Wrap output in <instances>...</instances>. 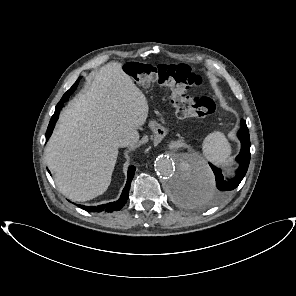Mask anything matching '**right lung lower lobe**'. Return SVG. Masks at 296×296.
<instances>
[{"instance_id":"right-lung-lower-lobe-1","label":"right lung lower lobe","mask_w":296,"mask_h":296,"mask_svg":"<svg viewBox=\"0 0 296 296\" xmlns=\"http://www.w3.org/2000/svg\"><path fill=\"white\" fill-rule=\"evenodd\" d=\"M78 85V80L75 82V84L63 95L61 98L60 102L57 104L55 112L50 120L49 126L47 128L46 132V139L50 137L52 134V131L54 129L55 123L59 117V112L63 107V103L66 102L69 99L70 94L77 88ZM135 173V167L130 166L128 169L127 173V183L123 189V192L120 196V198L117 201L110 202L107 204H102L98 206H84V205H78L80 208L88 211V212H97V213H108V212H113V211H118L120 210L125 203L127 202L128 199V194H129V189H130V184L133 179Z\"/></svg>"}]
</instances>
